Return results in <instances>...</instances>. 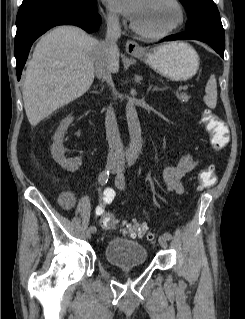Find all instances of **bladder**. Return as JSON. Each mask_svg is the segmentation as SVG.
<instances>
[{
    "mask_svg": "<svg viewBox=\"0 0 245 319\" xmlns=\"http://www.w3.org/2000/svg\"><path fill=\"white\" fill-rule=\"evenodd\" d=\"M106 262L118 268H131L148 261L146 247L140 242L126 238H112L104 247Z\"/></svg>",
    "mask_w": 245,
    "mask_h": 319,
    "instance_id": "31cf9c89",
    "label": "bladder"
}]
</instances>
